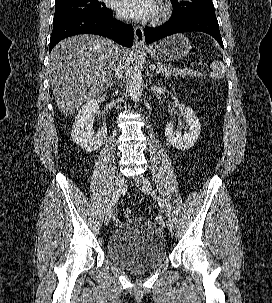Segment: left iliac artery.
Listing matches in <instances>:
<instances>
[{
	"instance_id": "44dca946",
	"label": "left iliac artery",
	"mask_w": 272,
	"mask_h": 303,
	"mask_svg": "<svg viewBox=\"0 0 272 303\" xmlns=\"http://www.w3.org/2000/svg\"><path fill=\"white\" fill-rule=\"evenodd\" d=\"M158 203H159V206L161 207V209L164 210V209H165L164 201H163L160 197H158ZM164 211L166 212V210H164ZM165 216H166V218H167V219H166L167 222L171 223L172 220H173L172 217H171V216H172L171 213H169V212L167 213V212H166V215H165Z\"/></svg>"
}]
</instances>
